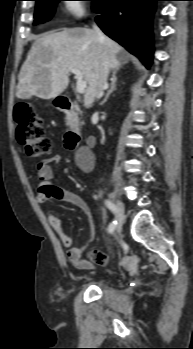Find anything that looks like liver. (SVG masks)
Returning a JSON list of instances; mask_svg holds the SVG:
<instances>
[{
	"label": "liver",
	"mask_w": 193,
	"mask_h": 349,
	"mask_svg": "<svg viewBox=\"0 0 193 349\" xmlns=\"http://www.w3.org/2000/svg\"><path fill=\"white\" fill-rule=\"evenodd\" d=\"M105 38L109 69L115 73L121 66L123 50L118 43ZM103 51L104 43L89 28H69L42 35L33 43L21 67L17 98H56L67 88L69 74L78 70L88 84L84 105L90 107L102 80Z\"/></svg>",
	"instance_id": "6515ba94"
}]
</instances>
